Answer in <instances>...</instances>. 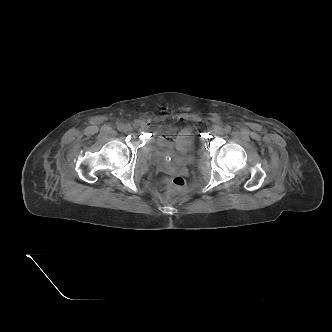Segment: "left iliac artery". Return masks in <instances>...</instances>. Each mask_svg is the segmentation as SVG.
<instances>
[{
  "label": "left iliac artery",
  "mask_w": 332,
  "mask_h": 332,
  "mask_svg": "<svg viewBox=\"0 0 332 332\" xmlns=\"http://www.w3.org/2000/svg\"><path fill=\"white\" fill-rule=\"evenodd\" d=\"M225 132L229 133L231 131V127L229 125L225 126Z\"/></svg>",
  "instance_id": "obj_1"
}]
</instances>
